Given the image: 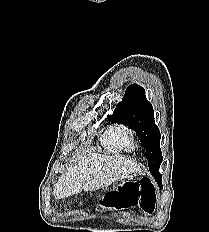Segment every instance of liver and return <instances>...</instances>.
I'll return each mask as SVG.
<instances>
[{"instance_id": "obj_1", "label": "liver", "mask_w": 209, "mask_h": 232, "mask_svg": "<svg viewBox=\"0 0 209 232\" xmlns=\"http://www.w3.org/2000/svg\"><path fill=\"white\" fill-rule=\"evenodd\" d=\"M134 160L119 155L90 153L73 164L55 184V199H63L82 190L95 191L107 187L131 173L140 172Z\"/></svg>"}]
</instances>
